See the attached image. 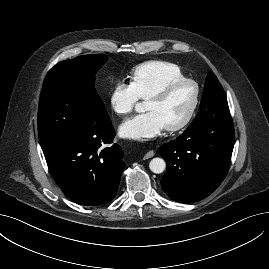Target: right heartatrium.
<instances>
[{"label": "right heart atrium", "mask_w": 269, "mask_h": 269, "mask_svg": "<svg viewBox=\"0 0 269 269\" xmlns=\"http://www.w3.org/2000/svg\"><path fill=\"white\" fill-rule=\"evenodd\" d=\"M139 101V97L131 83L117 81L109 95V104L112 111L124 116L132 112Z\"/></svg>", "instance_id": "right-heart-atrium-1"}]
</instances>
